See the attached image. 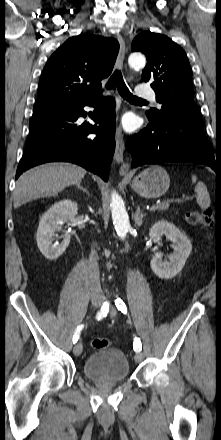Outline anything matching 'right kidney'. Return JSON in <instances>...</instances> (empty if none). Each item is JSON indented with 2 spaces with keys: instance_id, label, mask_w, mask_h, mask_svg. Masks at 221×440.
Wrapping results in <instances>:
<instances>
[{
  "instance_id": "right-kidney-1",
  "label": "right kidney",
  "mask_w": 221,
  "mask_h": 440,
  "mask_svg": "<svg viewBox=\"0 0 221 440\" xmlns=\"http://www.w3.org/2000/svg\"><path fill=\"white\" fill-rule=\"evenodd\" d=\"M78 205L76 202L65 199L50 207L39 222L36 240L40 252L48 260H56L60 257L70 243V235L65 234L61 243L52 244L56 231L61 230L65 222L71 221L77 215Z\"/></svg>"
}]
</instances>
